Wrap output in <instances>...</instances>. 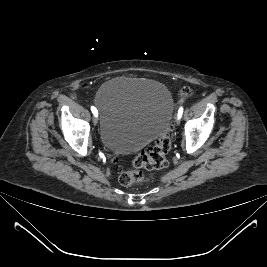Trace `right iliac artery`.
<instances>
[{
    "label": "right iliac artery",
    "instance_id": "obj_1",
    "mask_svg": "<svg viewBox=\"0 0 267 267\" xmlns=\"http://www.w3.org/2000/svg\"><path fill=\"white\" fill-rule=\"evenodd\" d=\"M91 111H92V113H93L95 116L98 115V111H97V109H96L94 106L91 107Z\"/></svg>",
    "mask_w": 267,
    "mask_h": 267
}]
</instances>
